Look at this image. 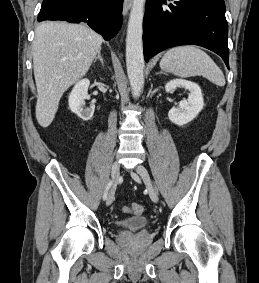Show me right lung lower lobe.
Masks as SVG:
<instances>
[{
    "label": "right lung lower lobe",
    "mask_w": 259,
    "mask_h": 283,
    "mask_svg": "<svg viewBox=\"0 0 259 283\" xmlns=\"http://www.w3.org/2000/svg\"><path fill=\"white\" fill-rule=\"evenodd\" d=\"M123 0H43L38 21L86 22L109 41L121 28Z\"/></svg>",
    "instance_id": "obj_1"
}]
</instances>
